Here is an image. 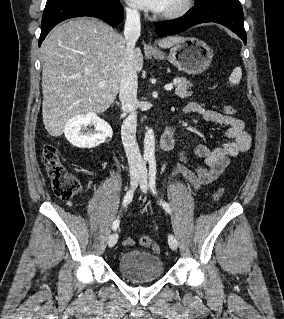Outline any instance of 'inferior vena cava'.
Returning a JSON list of instances; mask_svg holds the SVG:
<instances>
[{
  "label": "inferior vena cava",
  "mask_w": 284,
  "mask_h": 319,
  "mask_svg": "<svg viewBox=\"0 0 284 319\" xmlns=\"http://www.w3.org/2000/svg\"><path fill=\"white\" fill-rule=\"evenodd\" d=\"M140 14L137 10L128 9L126 12V22L124 27V37L128 61L124 65L123 75L119 89V99L123 111L129 113L121 128V138L124 150L128 159L129 168L132 171L141 170L144 162L136 141L137 127V88L138 79L132 63L135 44L140 36Z\"/></svg>",
  "instance_id": "inferior-vena-cava-1"
}]
</instances>
